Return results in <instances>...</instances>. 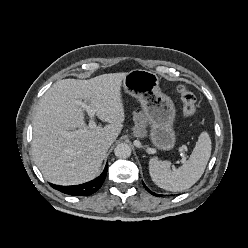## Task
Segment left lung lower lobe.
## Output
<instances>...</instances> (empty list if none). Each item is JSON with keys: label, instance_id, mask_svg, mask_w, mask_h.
<instances>
[{"label": "left lung lower lobe", "instance_id": "0a47b994", "mask_svg": "<svg viewBox=\"0 0 248 248\" xmlns=\"http://www.w3.org/2000/svg\"><path fill=\"white\" fill-rule=\"evenodd\" d=\"M143 185H144V187L146 188V190L148 191V192H150L152 195H154V196H160V195H158V194H156V193H153V192H151L147 187H146V185L143 183Z\"/></svg>", "mask_w": 248, "mask_h": 248}]
</instances>
